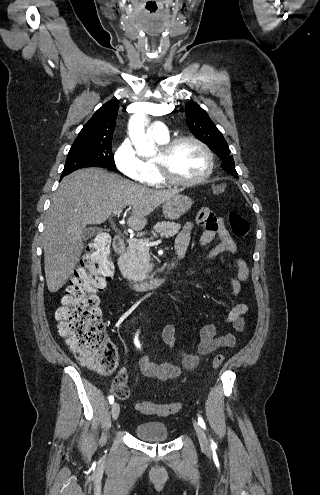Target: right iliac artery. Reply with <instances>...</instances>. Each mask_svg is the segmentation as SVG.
<instances>
[{"mask_svg":"<svg viewBox=\"0 0 320 495\" xmlns=\"http://www.w3.org/2000/svg\"><path fill=\"white\" fill-rule=\"evenodd\" d=\"M109 402H110V404H112V403L114 402V396H112V395H111V396L109 397Z\"/></svg>","mask_w":320,"mask_h":495,"instance_id":"right-iliac-artery-1","label":"right iliac artery"}]
</instances>
